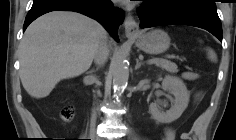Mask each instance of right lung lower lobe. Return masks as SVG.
<instances>
[{
    "label": "right lung lower lobe",
    "mask_w": 236,
    "mask_h": 140,
    "mask_svg": "<svg viewBox=\"0 0 236 140\" xmlns=\"http://www.w3.org/2000/svg\"><path fill=\"white\" fill-rule=\"evenodd\" d=\"M57 10L75 11L87 15L100 22L119 41L117 29L123 22V14L118 8H114L110 0H34L32 8L28 12L23 31L37 17Z\"/></svg>",
    "instance_id": "1"
}]
</instances>
